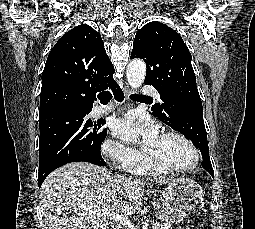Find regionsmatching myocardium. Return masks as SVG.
I'll return each instance as SVG.
<instances>
[{
  "mask_svg": "<svg viewBox=\"0 0 255 229\" xmlns=\"http://www.w3.org/2000/svg\"><path fill=\"white\" fill-rule=\"evenodd\" d=\"M161 135L162 136H173V137H177L180 140H182L191 149V151L193 153V160L187 166L171 167V166H166V165L161 164L160 162H156V161L152 160L143 151L142 158L150 167H152L155 170L160 171V173L181 174V173H185V172H188V171L194 169L198 165V163L200 161L199 151H198L196 145L193 143V141L188 136H186L185 134H183L179 131H176V130H167V131L162 132Z\"/></svg>",
  "mask_w": 255,
  "mask_h": 229,
  "instance_id": "f54148a6",
  "label": "myocardium"
}]
</instances>
